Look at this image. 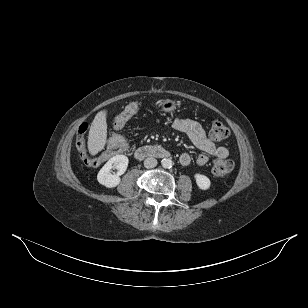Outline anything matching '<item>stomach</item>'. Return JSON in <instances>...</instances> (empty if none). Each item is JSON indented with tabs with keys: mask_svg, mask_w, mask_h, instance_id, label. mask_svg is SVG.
<instances>
[{
	"mask_svg": "<svg viewBox=\"0 0 308 308\" xmlns=\"http://www.w3.org/2000/svg\"><path fill=\"white\" fill-rule=\"evenodd\" d=\"M160 105L164 112H172L178 107V103L172 99L163 100Z\"/></svg>",
	"mask_w": 308,
	"mask_h": 308,
	"instance_id": "0dacf381",
	"label": "stomach"
}]
</instances>
